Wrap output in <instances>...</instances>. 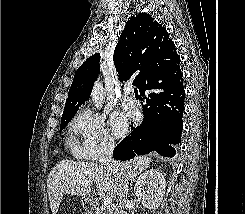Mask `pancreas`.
Here are the masks:
<instances>
[{"mask_svg":"<svg viewBox=\"0 0 245 214\" xmlns=\"http://www.w3.org/2000/svg\"><path fill=\"white\" fill-rule=\"evenodd\" d=\"M96 214H111V209L103 205H99Z\"/></svg>","mask_w":245,"mask_h":214,"instance_id":"obj_1","label":"pancreas"}]
</instances>
